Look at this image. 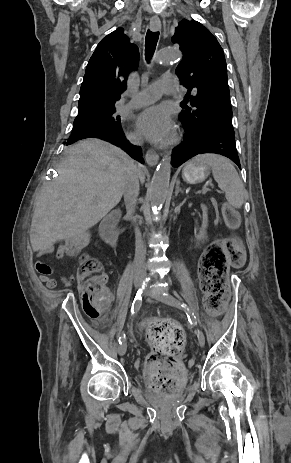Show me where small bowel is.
<instances>
[{
	"instance_id": "small-bowel-1",
	"label": "small bowel",
	"mask_w": 291,
	"mask_h": 463,
	"mask_svg": "<svg viewBox=\"0 0 291 463\" xmlns=\"http://www.w3.org/2000/svg\"><path fill=\"white\" fill-rule=\"evenodd\" d=\"M36 251L38 255H42V254L50 252L51 249L48 246H38L36 248ZM64 255H65V247L63 245H59L56 250V258L60 260L64 257ZM39 265H44L46 267V270H41L38 267ZM36 268L40 272V280L46 285L48 289H54L57 285V281L52 277L53 274H57L60 282L66 287H70L74 283L73 276L58 273L54 268L46 265L43 262H40V261L37 262ZM107 279H108L107 276L102 277V281L104 285L107 283ZM88 316L93 319H97L99 317V316H92V315H88Z\"/></svg>"
}]
</instances>
